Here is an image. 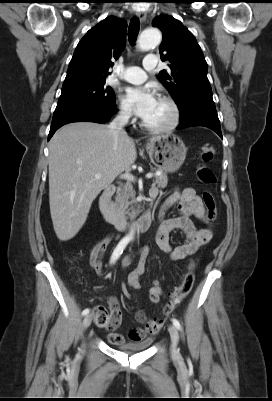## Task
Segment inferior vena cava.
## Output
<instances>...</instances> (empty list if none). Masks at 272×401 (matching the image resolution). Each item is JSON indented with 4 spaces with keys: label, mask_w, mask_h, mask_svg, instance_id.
Wrapping results in <instances>:
<instances>
[{
    "label": "inferior vena cava",
    "mask_w": 272,
    "mask_h": 401,
    "mask_svg": "<svg viewBox=\"0 0 272 401\" xmlns=\"http://www.w3.org/2000/svg\"><path fill=\"white\" fill-rule=\"evenodd\" d=\"M129 118H130V112L128 110H122L118 113V115L113 119V121L108 126L110 132L113 135L115 146L117 145L118 139L120 137L122 138L128 137L124 127L127 125Z\"/></svg>",
    "instance_id": "602c4592"
}]
</instances>
